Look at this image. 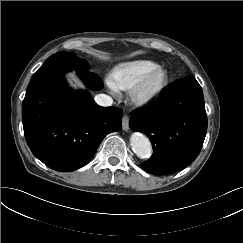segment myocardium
<instances>
[{
  "mask_svg": "<svg viewBox=\"0 0 243 243\" xmlns=\"http://www.w3.org/2000/svg\"><path fill=\"white\" fill-rule=\"evenodd\" d=\"M169 82L165 69L156 68L147 73L129 92L131 102L136 106H147L156 101L164 92Z\"/></svg>",
  "mask_w": 243,
  "mask_h": 243,
  "instance_id": "obj_1",
  "label": "myocardium"
}]
</instances>
